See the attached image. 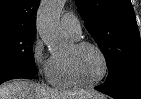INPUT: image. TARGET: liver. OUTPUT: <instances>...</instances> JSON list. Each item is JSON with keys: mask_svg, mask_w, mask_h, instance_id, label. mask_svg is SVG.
Instances as JSON below:
<instances>
[{"mask_svg": "<svg viewBox=\"0 0 141 99\" xmlns=\"http://www.w3.org/2000/svg\"><path fill=\"white\" fill-rule=\"evenodd\" d=\"M0 99H105L96 91H58L30 80H12L0 86Z\"/></svg>", "mask_w": 141, "mask_h": 99, "instance_id": "1", "label": "liver"}]
</instances>
